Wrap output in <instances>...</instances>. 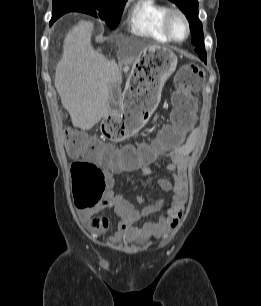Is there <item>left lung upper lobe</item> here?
<instances>
[{"label":"left lung upper lobe","instance_id":"1","mask_svg":"<svg viewBox=\"0 0 261 306\" xmlns=\"http://www.w3.org/2000/svg\"><path fill=\"white\" fill-rule=\"evenodd\" d=\"M175 3L187 17L192 34V43L200 59L206 63L207 55L204 47L202 24L198 18L197 0H170Z\"/></svg>","mask_w":261,"mask_h":306}]
</instances>
